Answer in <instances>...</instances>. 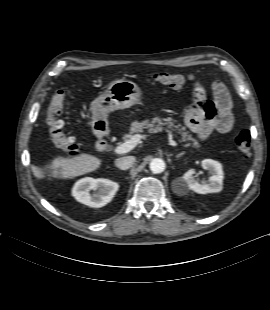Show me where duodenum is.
Returning <instances> with one entry per match:
<instances>
[{
    "label": "duodenum",
    "mask_w": 270,
    "mask_h": 310,
    "mask_svg": "<svg viewBox=\"0 0 270 310\" xmlns=\"http://www.w3.org/2000/svg\"><path fill=\"white\" fill-rule=\"evenodd\" d=\"M108 147V143L107 141H105L104 139H99L96 145V148L98 151H104L106 150Z\"/></svg>",
    "instance_id": "1"
}]
</instances>
